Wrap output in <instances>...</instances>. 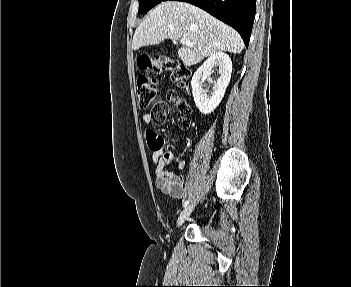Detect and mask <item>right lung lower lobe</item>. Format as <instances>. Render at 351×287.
Masks as SVG:
<instances>
[{"mask_svg":"<svg viewBox=\"0 0 351 287\" xmlns=\"http://www.w3.org/2000/svg\"><path fill=\"white\" fill-rule=\"evenodd\" d=\"M167 1V0H164ZM193 4L238 31L248 47L256 13V0H176Z\"/></svg>","mask_w":351,"mask_h":287,"instance_id":"1","label":"right lung lower lobe"}]
</instances>
